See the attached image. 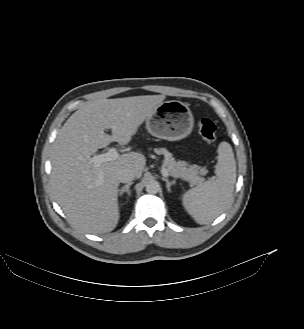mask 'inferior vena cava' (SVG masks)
Instances as JSON below:
<instances>
[{
    "label": "inferior vena cava",
    "instance_id": "1",
    "mask_svg": "<svg viewBox=\"0 0 304 329\" xmlns=\"http://www.w3.org/2000/svg\"><path fill=\"white\" fill-rule=\"evenodd\" d=\"M117 178L121 183H129L135 178V175L131 170L123 169L118 172Z\"/></svg>",
    "mask_w": 304,
    "mask_h": 329
}]
</instances>
